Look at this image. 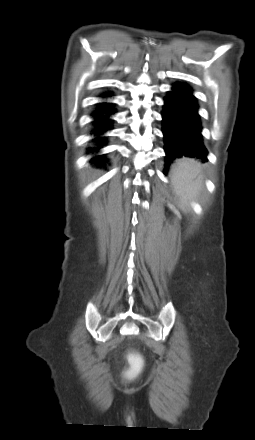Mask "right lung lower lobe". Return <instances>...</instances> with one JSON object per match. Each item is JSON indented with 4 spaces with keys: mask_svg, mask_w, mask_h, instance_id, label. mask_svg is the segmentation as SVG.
Instances as JSON below:
<instances>
[{
    "mask_svg": "<svg viewBox=\"0 0 255 440\" xmlns=\"http://www.w3.org/2000/svg\"><path fill=\"white\" fill-rule=\"evenodd\" d=\"M101 96L104 98L111 97L112 92H105ZM115 112L116 108L113 103L104 101L96 105L95 110L91 114L93 117V121L91 122L93 126L91 134L95 136L92 142H94L97 147L88 148V152H98V150L106 144L107 137L103 135L114 128V120L111 117ZM97 159L102 162L107 161L105 155L96 156L94 158V160Z\"/></svg>",
    "mask_w": 255,
    "mask_h": 440,
    "instance_id": "right-lung-lower-lobe-1",
    "label": "right lung lower lobe"
}]
</instances>
